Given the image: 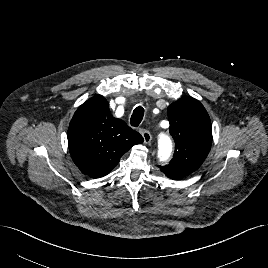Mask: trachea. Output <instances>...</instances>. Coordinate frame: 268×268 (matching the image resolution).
<instances>
[{
	"instance_id": "obj_1",
	"label": "trachea",
	"mask_w": 268,
	"mask_h": 268,
	"mask_svg": "<svg viewBox=\"0 0 268 268\" xmlns=\"http://www.w3.org/2000/svg\"><path fill=\"white\" fill-rule=\"evenodd\" d=\"M143 116H144V108L141 106L136 107L130 119L131 126L138 127L143 119Z\"/></svg>"
}]
</instances>
